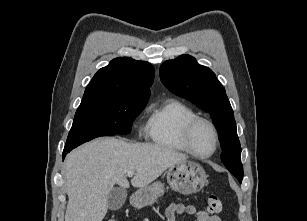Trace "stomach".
<instances>
[{"mask_svg": "<svg viewBox=\"0 0 307 221\" xmlns=\"http://www.w3.org/2000/svg\"><path fill=\"white\" fill-rule=\"evenodd\" d=\"M167 181L173 190L188 195L200 191L205 186L207 175L200 164L193 161H183L169 168ZM163 194L164 185L160 181H156L137 190L132 203L136 207L147 206Z\"/></svg>", "mask_w": 307, "mask_h": 221, "instance_id": "obj_1", "label": "stomach"}]
</instances>
